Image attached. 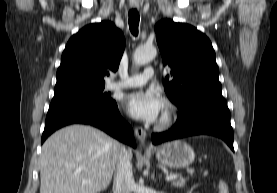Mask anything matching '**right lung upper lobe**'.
Segmentation results:
<instances>
[{
  "instance_id": "1",
  "label": "right lung upper lobe",
  "mask_w": 277,
  "mask_h": 193,
  "mask_svg": "<svg viewBox=\"0 0 277 193\" xmlns=\"http://www.w3.org/2000/svg\"><path fill=\"white\" fill-rule=\"evenodd\" d=\"M125 48L123 33L112 22L85 26L68 41L57 70L55 94L105 85L115 72Z\"/></svg>"
}]
</instances>
